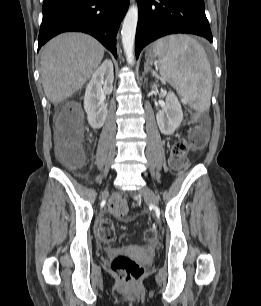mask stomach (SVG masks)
I'll return each mask as SVG.
<instances>
[{
	"mask_svg": "<svg viewBox=\"0 0 261 306\" xmlns=\"http://www.w3.org/2000/svg\"><path fill=\"white\" fill-rule=\"evenodd\" d=\"M149 58H150V61H153L154 55L152 54V52H149Z\"/></svg>",
	"mask_w": 261,
	"mask_h": 306,
	"instance_id": "1",
	"label": "stomach"
}]
</instances>
